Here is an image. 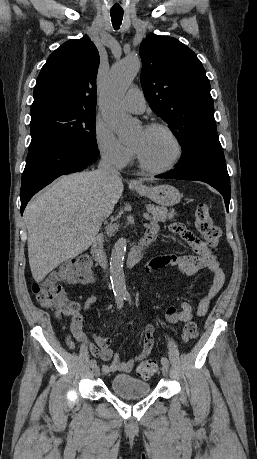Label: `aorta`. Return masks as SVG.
Returning a JSON list of instances; mask_svg holds the SVG:
<instances>
[{
	"label": "aorta",
	"instance_id": "obj_1",
	"mask_svg": "<svg viewBox=\"0 0 257 459\" xmlns=\"http://www.w3.org/2000/svg\"><path fill=\"white\" fill-rule=\"evenodd\" d=\"M138 57H129L115 64L108 75L102 91V111L107 124L122 142L134 139L138 124L126 115L119 107L127 89L140 70ZM127 241L119 238L115 243L110 259V278L112 289L117 299L127 295L123 261L126 254Z\"/></svg>",
	"mask_w": 257,
	"mask_h": 459
}]
</instances>
